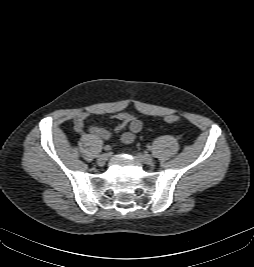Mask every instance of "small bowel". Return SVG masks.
Returning a JSON list of instances; mask_svg holds the SVG:
<instances>
[{"mask_svg":"<svg viewBox=\"0 0 254 267\" xmlns=\"http://www.w3.org/2000/svg\"><path fill=\"white\" fill-rule=\"evenodd\" d=\"M87 117L88 114L85 112L78 113L74 117V128L77 132H84L85 120ZM114 118L118 121L116 131L121 132L128 127V131L123 132L120 136L121 142L123 144L132 143L135 140L136 135L142 130V121L127 112L116 113ZM88 132L92 136L103 140H108L111 137V133L107 129L98 126H91L88 129Z\"/></svg>","mask_w":254,"mask_h":267,"instance_id":"obj_1","label":"small bowel"}]
</instances>
